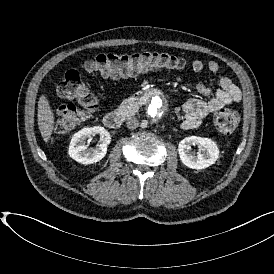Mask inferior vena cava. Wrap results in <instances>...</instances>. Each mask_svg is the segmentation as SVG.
Segmentation results:
<instances>
[{
    "label": "inferior vena cava",
    "mask_w": 274,
    "mask_h": 274,
    "mask_svg": "<svg viewBox=\"0 0 274 274\" xmlns=\"http://www.w3.org/2000/svg\"><path fill=\"white\" fill-rule=\"evenodd\" d=\"M140 125V121L137 118H129L126 122V126L130 130L137 129Z\"/></svg>",
    "instance_id": "inferior-vena-cava-1"
}]
</instances>
